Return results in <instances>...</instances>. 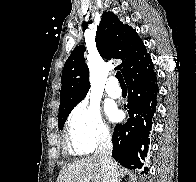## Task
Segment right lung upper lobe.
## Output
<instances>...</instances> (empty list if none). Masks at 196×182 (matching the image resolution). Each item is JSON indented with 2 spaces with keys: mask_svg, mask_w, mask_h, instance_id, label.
Masks as SVG:
<instances>
[{
  "mask_svg": "<svg viewBox=\"0 0 196 182\" xmlns=\"http://www.w3.org/2000/svg\"><path fill=\"white\" fill-rule=\"evenodd\" d=\"M96 47L103 58L122 59V64L117 68L123 76L149 56L136 31L124 25L112 12L102 15L96 34ZM84 52V46H77L64 65L58 117L71 112L90 88Z\"/></svg>",
  "mask_w": 196,
  "mask_h": 182,
  "instance_id": "cb5924a9",
  "label": "right lung upper lobe"
}]
</instances>
